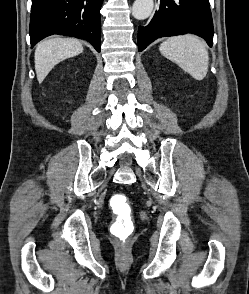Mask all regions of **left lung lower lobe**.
Segmentation results:
<instances>
[{"label":"left lung lower lobe","instance_id":"1","mask_svg":"<svg viewBox=\"0 0 249 294\" xmlns=\"http://www.w3.org/2000/svg\"><path fill=\"white\" fill-rule=\"evenodd\" d=\"M159 10L150 23L138 28V50L143 51L155 39L193 33L211 47L213 22L209 0H159Z\"/></svg>","mask_w":249,"mask_h":294}]
</instances>
